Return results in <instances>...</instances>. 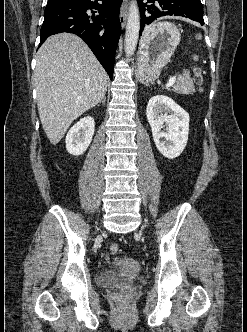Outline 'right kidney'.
I'll list each match as a JSON object with an SVG mask.
<instances>
[{
	"mask_svg": "<svg viewBox=\"0 0 247 332\" xmlns=\"http://www.w3.org/2000/svg\"><path fill=\"white\" fill-rule=\"evenodd\" d=\"M95 123L90 116L78 121L66 135V149L75 156L83 154L89 147L94 135Z\"/></svg>",
	"mask_w": 247,
	"mask_h": 332,
	"instance_id": "right-kidney-1",
	"label": "right kidney"
}]
</instances>
